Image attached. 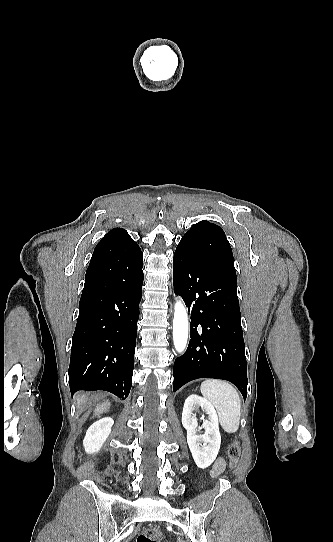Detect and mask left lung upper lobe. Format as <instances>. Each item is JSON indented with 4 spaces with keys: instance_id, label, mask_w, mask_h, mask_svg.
I'll use <instances>...</instances> for the list:
<instances>
[{
    "instance_id": "left-lung-upper-lobe-1",
    "label": "left lung upper lobe",
    "mask_w": 333,
    "mask_h": 542,
    "mask_svg": "<svg viewBox=\"0 0 333 542\" xmlns=\"http://www.w3.org/2000/svg\"><path fill=\"white\" fill-rule=\"evenodd\" d=\"M179 244L190 249L200 261L228 268L236 273L231 246L223 229L216 224L206 220L196 223Z\"/></svg>"
}]
</instances>
